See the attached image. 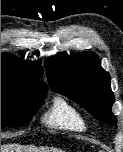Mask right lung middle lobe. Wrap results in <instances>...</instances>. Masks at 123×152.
<instances>
[{"mask_svg":"<svg viewBox=\"0 0 123 152\" xmlns=\"http://www.w3.org/2000/svg\"><path fill=\"white\" fill-rule=\"evenodd\" d=\"M45 92L20 91L1 83V126L23 125L41 108Z\"/></svg>","mask_w":123,"mask_h":152,"instance_id":"obj_1","label":"right lung middle lobe"}]
</instances>
